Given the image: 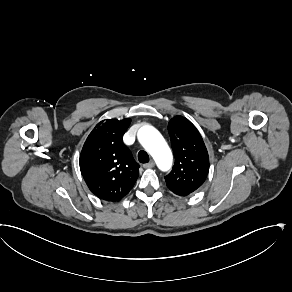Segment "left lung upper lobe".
Segmentation results:
<instances>
[{
	"mask_svg": "<svg viewBox=\"0 0 292 292\" xmlns=\"http://www.w3.org/2000/svg\"><path fill=\"white\" fill-rule=\"evenodd\" d=\"M168 132L175 163L165 176L167 187L175 194L193 193L204 183L209 171L204 141L196 127L182 116L169 121Z\"/></svg>",
	"mask_w": 292,
	"mask_h": 292,
	"instance_id": "1",
	"label": "left lung upper lobe"
}]
</instances>
